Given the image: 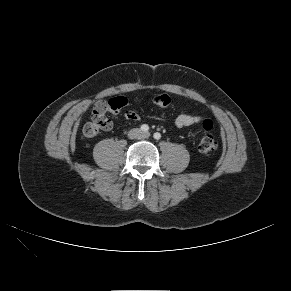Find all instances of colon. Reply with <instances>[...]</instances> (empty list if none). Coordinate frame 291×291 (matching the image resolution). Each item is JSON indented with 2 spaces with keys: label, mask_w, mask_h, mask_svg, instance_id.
I'll return each instance as SVG.
<instances>
[{
  "label": "colon",
  "mask_w": 291,
  "mask_h": 291,
  "mask_svg": "<svg viewBox=\"0 0 291 291\" xmlns=\"http://www.w3.org/2000/svg\"><path fill=\"white\" fill-rule=\"evenodd\" d=\"M146 103H155L159 107L169 106L171 100L168 95H148L144 98ZM129 104V96L127 94H121L109 101L108 107L98 113H94L92 120L86 123L83 127V134L92 138L97 136L101 131H107L111 129V120L109 119L110 113H119ZM203 136L199 142V151L205 155H210L217 150L218 143L212 134L213 123L209 119L203 121Z\"/></svg>",
  "instance_id": "5ec220e1"
}]
</instances>
